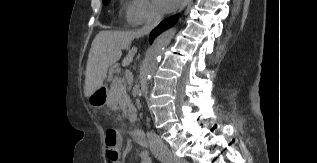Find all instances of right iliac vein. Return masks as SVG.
I'll return each mask as SVG.
<instances>
[{
	"instance_id": "1",
	"label": "right iliac vein",
	"mask_w": 317,
	"mask_h": 163,
	"mask_svg": "<svg viewBox=\"0 0 317 163\" xmlns=\"http://www.w3.org/2000/svg\"><path fill=\"white\" fill-rule=\"evenodd\" d=\"M166 163H187V162H182V161H179L177 159H170V160L166 161Z\"/></svg>"
}]
</instances>
